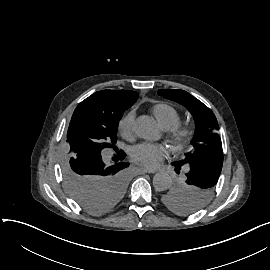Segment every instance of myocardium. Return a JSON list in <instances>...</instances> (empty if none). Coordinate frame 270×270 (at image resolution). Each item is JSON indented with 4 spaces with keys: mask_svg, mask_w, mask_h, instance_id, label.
<instances>
[{
    "mask_svg": "<svg viewBox=\"0 0 270 270\" xmlns=\"http://www.w3.org/2000/svg\"><path fill=\"white\" fill-rule=\"evenodd\" d=\"M192 134V126L189 123H186L183 127L175 130L173 137L175 140H181V138L185 137L187 139L190 138Z\"/></svg>",
    "mask_w": 270,
    "mask_h": 270,
    "instance_id": "myocardium-1",
    "label": "myocardium"
}]
</instances>
